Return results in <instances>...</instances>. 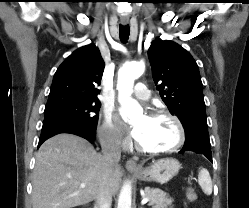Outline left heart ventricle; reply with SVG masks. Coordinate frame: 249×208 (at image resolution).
<instances>
[{
  "label": "left heart ventricle",
  "mask_w": 249,
  "mask_h": 208,
  "mask_svg": "<svg viewBox=\"0 0 249 208\" xmlns=\"http://www.w3.org/2000/svg\"><path fill=\"white\" fill-rule=\"evenodd\" d=\"M136 124L143 128L142 135L137 141L145 148H169L178 141L177 126L167 117L142 116Z\"/></svg>",
  "instance_id": "left-heart-ventricle-1"
}]
</instances>
